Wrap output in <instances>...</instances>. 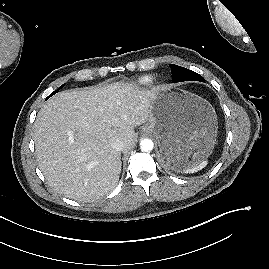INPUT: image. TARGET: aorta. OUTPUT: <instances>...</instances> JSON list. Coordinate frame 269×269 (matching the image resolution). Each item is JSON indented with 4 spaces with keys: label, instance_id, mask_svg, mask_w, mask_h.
Instances as JSON below:
<instances>
[{
    "label": "aorta",
    "instance_id": "1",
    "mask_svg": "<svg viewBox=\"0 0 269 269\" xmlns=\"http://www.w3.org/2000/svg\"><path fill=\"white\" fill-rule=\"evenodd\" d=\"M140 148L144 152H150L154 148V143L151 139H143L140 141Z\"/></svg>",
    "mask_w": 269,
    "mask_h": 269
}]
</instances>
